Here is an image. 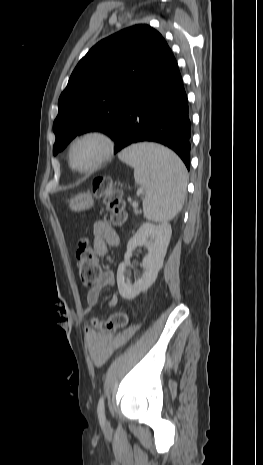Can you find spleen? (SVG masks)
Here are the masks:
<instances>
[{"label": "spleen", "instance_id": "1", "mask_svg": "<svg viewBox=\"0 0 263 465\" xmlns=\"http://www.w3.org/2000/svg\"><path fill=\"white\" fill-rule=\"evenodd\" d=\"M134 168V178L146 191L144 216L167 223L182 209L187 186V170L181 159L157 144H136L119 154Z\"/></svg>", "mask_w": 263, "mask_h": 465}]
</instances>
